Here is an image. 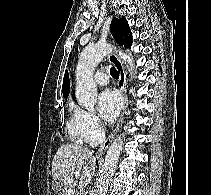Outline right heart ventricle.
I'll return each mask as SVG.
<instances>
[{
    "label": "right heart ventricle",
    "mask_w": 211,
    "mask_h": 195,
    "mask_svg": "<svg viewBox=\"0 0 211 195\" xmlns=\"http://www.w3.org/2000/svg\"><path fill=\"white\" fill-rule=\"evenodd\" d=\"M67 129L70 137L76 143L82 144L87 141L80 126L78 109L73 106L71 107V115L67 123Z\"/></svg>",
    "instance_id": "right-heart-ventricle-1"
}]
</instances>
